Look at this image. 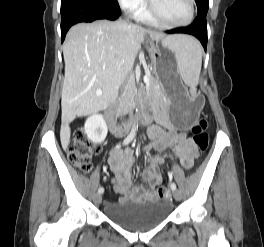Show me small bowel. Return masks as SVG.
Listing matches in <instances>:
<instances>
[{"instance_id": "c3829d8e", "label": "small bowel", "mask_w": 264, "mask_h": 247, "mask_svg": "<svg viewBox=\"0 0 264 247\" xmlns=\"http://www.w3.org/2000/svg\"><path fill=\"white\" fill-rule=\"evenodd\" d=\"M156 119L158 125H152L150 128L153 141L143 148V152L148 153L151 150L162 151L169 147H173L181 165L185 169L192 168L197 156V147L194 142L186 133L179 131L161 111L156 112ZM161 126L166 127L167 130H164ZM109 163L115 175V191L122 196V199L134 197L149 200L154 198V188L161 180L158 170L159 165L162 163L161 158L153 157L143 173V177L148 183L149 189L143 187L131 189L133 155L130 150H113L110 155Z\"/></svg>"}]
</instances>
